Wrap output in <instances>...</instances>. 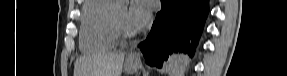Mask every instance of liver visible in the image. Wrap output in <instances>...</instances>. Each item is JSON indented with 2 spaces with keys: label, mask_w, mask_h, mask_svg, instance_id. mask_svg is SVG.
<instances>
[{
  "label": "liver",
  "mask_w": 287,
  "mask_h": 76,
  "mask_svg": "<svg viewBox=\"0 0 287 76\" xmlns=\"http://www.w3.org/2000/svg\"><path fill=\"white\" fill-rule=\"evenodd\" d=\"M125 53L102 51L75 62V76H120Z\"/></svg>",
  "instance_id": "liver-1"
}]
</instances>
